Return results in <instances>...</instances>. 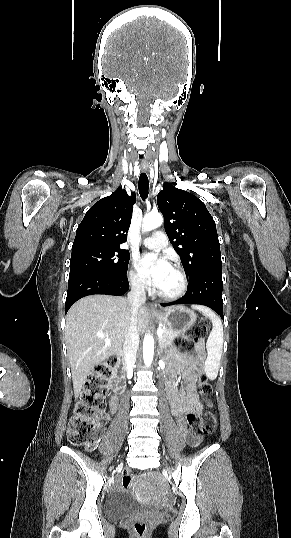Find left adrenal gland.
Masks as SVG:
<instances>
[{"instance_id": "left-adrenal-gland-1", "label": "left adrenal gland", "mask_w": 291, "mask_h": 538, "mask_svg": "<svg viewBox=\"0 0 291 538\" xmlns=\"http://www.w3.org/2000/svg\"><path fill=\"white\" fill-rule=\"evenodd\" d=\"M161 352H162V350H161V349H159V350H158V354H160Z\"/></svg>"}]
</instances>
